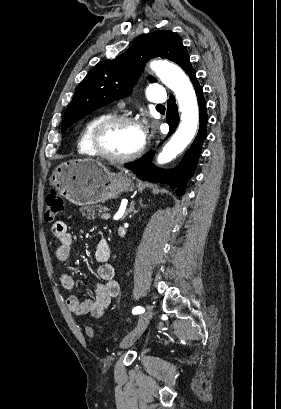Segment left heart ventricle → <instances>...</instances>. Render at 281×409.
Returning <instances> with one entry per match:
<instances>
[{"label": "left heart ventricle", "mask_w": 281, "mask_h": 409, "mask_svg": "<svg viewBox=\"0 0 281 409\" xmlns=\"http://www.w3.org/2000/svg\"><path fill=\"white\" fill-rule=\"evenodd\" d=\"M141 131L128 124H116L104 136L105 149L114 156H124L136 151L142 144Z\"/></svg>", "instance_id": "left-heart-ventricle-1"}]
</instances>
